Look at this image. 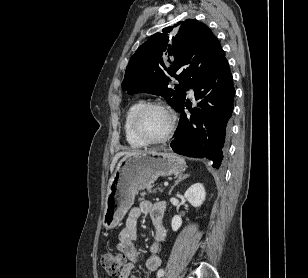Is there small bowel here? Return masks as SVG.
Listing matches in <instances>:
<instances>
[{
	"label": "small bowel",
	"instance_id": "small-bowel-1",
	"mask_svg": "<svg viewBox=\"0 0 308 278\" xmlns=\"http://www.w3.org/2000/svg\"><path fill=\"white\" fill-rule=\"evenodd\" d=\"M166 205L164 202L143 201L139 206L129 210L125 227L119 233L118 250L127 257L130 262L121 270L118 278H137L132 275L136 265L142 260V255L137 249L135 242L138 240V219L141 215H149L155 228L154 241L150 247V254L145 259V266L148 271H156L161 265L159 255L160 244L166 236V230L162 220Z\"/></svg>",
	"mask_w": 308,
	"mask_h": 278
}]
</instances>
